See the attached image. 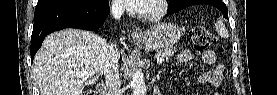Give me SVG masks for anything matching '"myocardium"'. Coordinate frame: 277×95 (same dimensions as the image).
I'll list each match as a JSON object with an SVG mask.
<instances>
[{"label":"myocardium","instance_id":"obj_1","mask_svg":"<svg viewBox=\"0 0 277 95\" xmlns=\"http://www.w3.org/2000/svg\"><path fill=\"white\" fill-rule=\"evenodd\" d=\"M158 4V8L155 12L152 13H144L140 10H135L134 13L143 21L154 22L158 19L162 18L168 9V1L167 0H155Z\"/></svg>","mask_w":277,"mask_h":95}]
</instances>
